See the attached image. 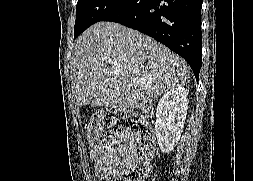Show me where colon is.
<instances>
[{
    "mask_svg": "<svg viewBox=\"0 0 253 181\" xmlns=\"http://www.w3.org/2000/svg\"><path fill=\"white\" fill-rule=\"evenodd\" d=\"M88 137L96 148H108L127 140L130 149L120 169L108 181H144L154 151V135L149 120L122 111L95 115L88 126Z\"/></svg>",
    "mask_w": 253,
    "mask_h": 181,
    "instance_id": "5ec220e1",
    "label": "colon"
}]
</instances>
